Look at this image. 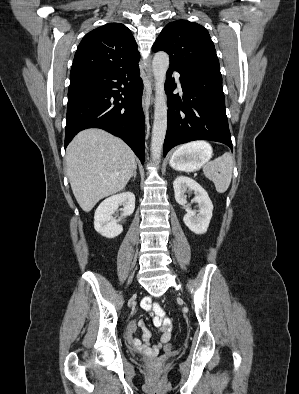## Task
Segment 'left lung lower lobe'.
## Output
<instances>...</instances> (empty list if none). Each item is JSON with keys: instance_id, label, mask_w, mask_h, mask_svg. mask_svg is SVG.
<instances>
[{"instance_id": "left-lung-lower-lobe-1", "label": "left lung lower lobe", "mask_w": 299, "mask_h": 394, "mask_svg": "<svg viewBox=\"0 0 299 394\" xmlns=\"http://www.w3.org/2000/svg\"><path fill=\"white\" fill-rule=\"evenodd\" d=\"M180 73L183 97L173 94L172 71ZM168 95V126L163 154L193 140H212L232 149L225 112L221 73L210 70L179 71L169 67L165 83Z\"/></svg>"}]
</instances>
